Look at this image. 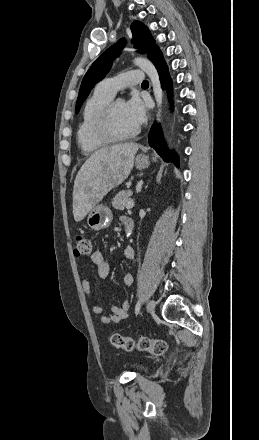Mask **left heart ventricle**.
<instances>
[{
    "label": "left heart ventricle",
    "mask_w": 259,
    "mask_h": 440,
    "mask_svg": "<svg viewBox=\"0 0 259 440\" xmlns=\"http://www.w3.org/2000/svg\"><path fill=\"white\" fill-rule=\"evenodd\" d=\"M113 124L116 132L120 134L130 133L137 127L131 122L125 111V103L118 101L113 111Z\"/></svg>",
    "instance_id": "obj_1"
}]
</instances>
